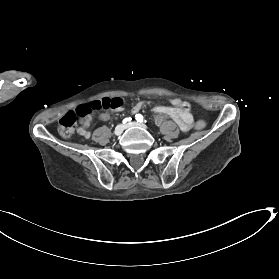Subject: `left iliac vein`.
<instances>
[{
	"label": "left iliac vein",
	"instance_id": "4c4485c4",
	"mask_svg": "<svg viewBox=\"0 0 279 279\" xmlns=\"http://www.w3.org/2000/svg\"><path fill=\"white\" fill-rule=\"evenodd\" d=\"M131 127H141V128H144V129L147 128L146 125L138 123V122H130L127 125H125V128H131Z\"/></svg>",
	"mask_w": 279,
	"mask_h": 279
}]
</instances>
